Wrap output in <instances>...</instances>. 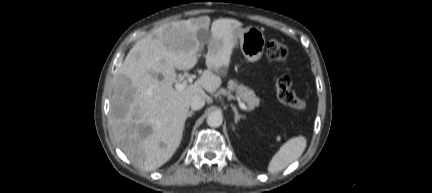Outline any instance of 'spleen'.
Masks as SVG:
<instances>
[{"label":"spleen","instance_id":"3e777b00","mask_svg":"<svg viewBox=\"0 0 432 193\" xmlns=\"http://www.w3.org/2000/svg\"><path fill=\"white\" fill-rule=\"evenodd\" d=\"M307 145L304 136H297L284 143L276 152L268 165V172L278 173L301 157Z\"/></svg>","mask_w":432,"mask_h":193}]
</instances>
